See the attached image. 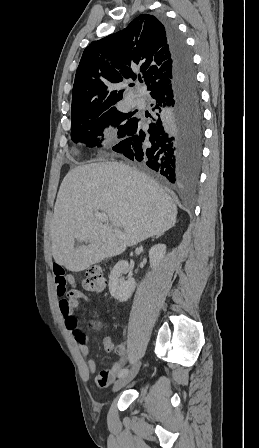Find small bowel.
I'll return each instance as SVG.
<instances>
[{
    "label": "small bowel",
    "instance_id": "obj_1",
    "mask_svg": "<svg viewBox=\"0 0 259 448\" xmlns=\"http://www.w3.org/2000/svg\"><path fill=\"white\" fill-rule=\"evenodd\" d=\"M53 276L57 294L59 296L65 295V297L59 301V311L64 320L65 327L73 332L78 342L79 350L86 359L87 374L96 373L97 364L90 356L87 336L79 330L78 321L74 315V311L79 307L81 301L91 303L92 300L76 288L75 278L72 275H68L59 263L53 264ZM67 285L71 287L69 290L66 289ZM103 346L106 352L114 350L118 357L109 369L103 370L96 375V384L99 387L106 388L113 383L125 364L126 347L124 344L115 347L111 337H106L103 340Z\"/></svg>",
    "mask_w": 259,
    "mask_h": 448
}]
</instances>
